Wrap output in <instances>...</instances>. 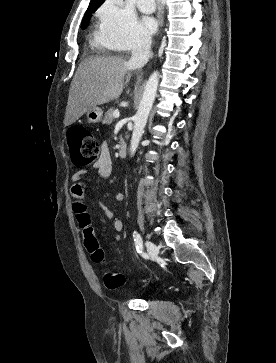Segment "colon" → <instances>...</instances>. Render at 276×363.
Instances as JSON below:
<instances>
[{"label": "colon", "mask_w": 276, "mask_h": 363, "mask_svg": "<svg viewBox=\"0 0 276 363\" xmlns=\"http://www.w3.org/2000/svg\"><path fill=\"white\" fill-rule=\"evenodd\" d=\"M67 143L73 163L78 167H85L99 158V144L93 134L84 127H72L67 132ZM80 226H88V216L80 217ZM91 260L95 263H105V251L100 247L96 236L89 233L84 239ZM104 285L115 290L125 284V277L117 270L110 269L104 273Z\"/></svg>", "instance_id": "5ec220e1"}]
</instances>
